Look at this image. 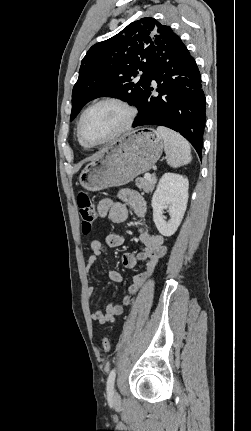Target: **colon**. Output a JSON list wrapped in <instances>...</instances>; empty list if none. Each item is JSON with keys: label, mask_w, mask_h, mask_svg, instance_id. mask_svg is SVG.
Listing matches in <instances>:
<instances>
[{"label": "colon", "mask_w": 251, "mask_h": 431, "mask_svg": "<svg viewBox=\"0 0 251 431\" xmlns=\"http://www.w3.org/2000/svg\"><path fill=\"white\" fill-rule=\"evenodd\" d=\"M77 204L81 218V227L84 234H89L96 220V209L86 192H80L77 197ZM102 348L104 352H109L111 342L108 337H103Z\"/></svg>", "instance_id": "5ec220e1"}]
</instances>
